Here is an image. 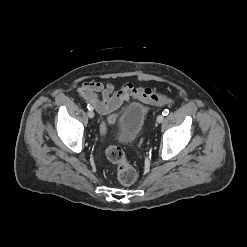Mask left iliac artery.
I'll list each match as a JSON object with an SVG mask.
<instances>
[{
    "label": "left iliac artery",
    "mask_w": 247,
    "mask_h": 247,
    "mask_svg": "<svg viewBox=\"0 0 247 247\" xmlns=\"http://www.w3.org/2000/svg\"><path fill=\"white\" fill-rule=\"evenodd\" d=\"M169 114V110L168 109H165L163 112H162V115L163 116H167Z\"/></svg>",
    "instance_id": "obj_1"
}]
</instances>
